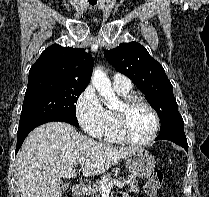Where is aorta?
I'll list each match as a JSON object with an SVG mask.
<instances>
[{
	"label": "aorta",
	"mask_w": 209,
	"mask_h": 197,
	"mask_svg": "<svg viewBox=\"0 0 209 197\" xmlns=\"http://www.w3.org/2000/svg\"><path fill=\"white\" fill-rule=\"evenodd\" d=\"M91 81L99 95L105 100L107 107L114 108L119 105L120 102L112 89L111 81L101 67L94 69Z\"/></svg>",
	"instance_id": "762f6f07"
}]
</instances>
